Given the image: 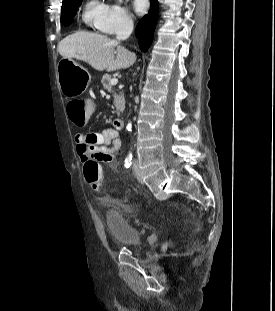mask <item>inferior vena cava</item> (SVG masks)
Wrapping results in <instances>:
<instances>
[{
	"label": "inferior vena cava",
	"mask_w": 275,
	"mask_h": 311,
	"mask_svg": "<svg viewBox=\"0 0 275 311\" xmlns=\"http://www.w3.org/2000/svg\"><path fill=\"white\" fill-rule=\"evenodd\" d=\"M133 31V22L130 20H124L116 30L117 41L127 39Z\"/></svg>",
	"instance_id": "602c4592"
}]
</instances>
